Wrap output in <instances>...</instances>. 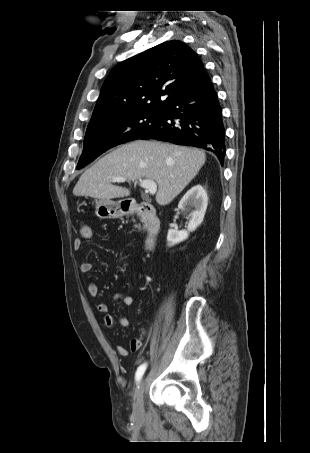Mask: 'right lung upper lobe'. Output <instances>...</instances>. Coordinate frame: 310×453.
<instances>
[{"label":"right lung upper lobe","mask_w":310,"mask_h":453,"mask_svg":"<svg viewBox=\"0 0 310 453\" xmlns=\"http://www.w3.org/2000/svg\"><path fill=\"white\" fill-rule=\"evenodd\" d=\"M204 72L202 61L185 43L159 44L112 69L89 123L133 111L163 110Z\"/></svg>","instance_id":"cb5924a9"}]
</instances>
